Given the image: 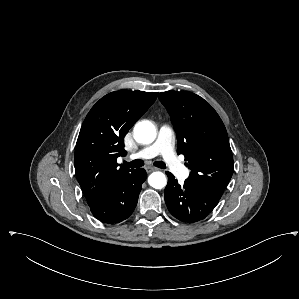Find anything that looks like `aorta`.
<instances>
[{
	"instance_id": "obj_1",
	"label": "aorta",
	"mask_w": 299,
	"mask_h": 299,
	"mask_svg": "<svg viewBox=\"0 0 299 299\" xmlns=\"http://www.w3.org/2000/svg\"><path fill=\"white\" fill-rule=\"evenodd\" d=\"M134 138L138 143H152L156 138L155 126L149 121L138 122L134 127ZM148 183L155 189H162L166 186L167 179L162 172H153L148 177Z\"/></svg>"
}]
</instances>
